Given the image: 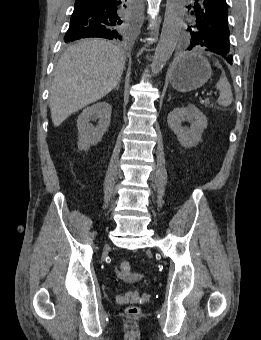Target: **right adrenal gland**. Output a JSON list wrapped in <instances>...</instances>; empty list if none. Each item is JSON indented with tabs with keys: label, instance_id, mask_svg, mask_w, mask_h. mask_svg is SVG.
Returning a JSON list of instances; mask_svg holds the SVG:
<instances>
[{
	"label": "right adrenal gland",
	"instance_id": "obj_1",
	"mask_svg": "<svg viewBox=\"0 0 261 340\" xmlns=\"http://www.w3.org/2000/svg\"><path fill=\"white\" fill-rule=\"evenodd\" d=\"M120 87V82L116 85L115 89L118 91Z\"/></svg>",
	"mask_w": 261,
	"mask_h": 340
}]
</instances>
